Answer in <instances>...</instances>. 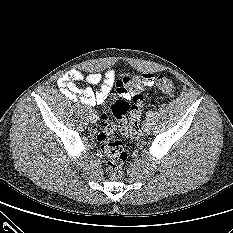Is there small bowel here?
<instances>
[{
  "label": "small bowel",
  "mask_w": 233,
  "mask_h": 233,
  "mask_svg": "<svg viewBox=\"0 0 233 233\" xmlns=\"http://www.w3.org/2000/svg\"><path fill=\"white\" fill-rule=\"evenodd\" d=\"M143 79V87L149 88L153 84V75L146 73L140 76ZM132 77L125 76L116 80L115 72L109 69L102 76L100 73L84 75L77 69H71L59 77L57 84L63 95L72 101H80L88 105L103 103L115 88L124 98L130 99L132 92L128 89ZM85 80L91 85H99V90L94 91L90 87H81L79 82Z\"/></svg>",
  "instance_id": "1"
}]
</instances>
